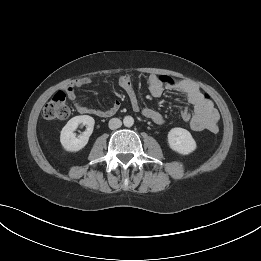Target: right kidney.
<instances>
[{
	"instance_id": "1",
	"label": "right kidney",
	"mask_w": 261,
	"mask_h": 261,
	"mask_svg": "<svg viewBox=\"0 0 261 261\" xmlns=\"http://www.w3.org/2000/svg\"><path fill=\"white\" fill-rule=\"evenodd\" d=\"M79 124L86 126V131L78 138L74 131ZM95 120L89 115L75 116L71 118L67 124L62 128L60 134V142L66 151L76 152L81 150L88 143L94 129Z\"/></svg>"
}]
</instances>
